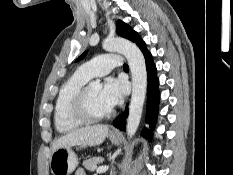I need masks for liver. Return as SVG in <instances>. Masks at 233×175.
I'll list each match as a JSON object with an SVG mask.
<instances>
[{
    "mask_svg": "<svg viewBox=\"0 0 233 175\" xmlns=\"http://www.w3.org/2000/svg\"><path fill=\"white\" fill-rule=\"evenodd\" d=\"M108 131L109 127L107 125L88 126L73 130L56 139L52 151L54 152L61 147L100 145L103 143Z\"/></svg>",
    "mask_w": 233,
    "mask_h": 175,
    "instance_id": "liver-1",
    "label": "liver"
}]
</instances>
